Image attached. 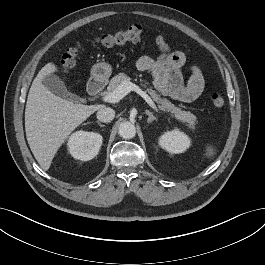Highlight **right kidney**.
I'll use <instances>...</instances> for the list:
<instances>
[{"label": "right kidney", "mask_w": 265, "mask_h": 265, "mask_svg": "<svg viewBox=\"0 0 265 265\" xmlns=\"http://www.w3.org/2000/svg\"><path fill=\"white\" fill-rule=\"evenodd\" d=\"M102 136L96 132L77 131L68 140L71 156L81 161L93 159L102 145Z\"/></svg>", "instance_id": "1"}]
</instances>
